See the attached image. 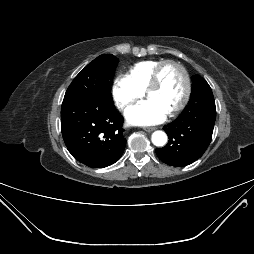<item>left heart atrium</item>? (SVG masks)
<instances>
[{"mask_svg": "<svg viewBox=\"0 0 254 254\" xmlns=\"http://www.w3.org/2000/svg\"><path fill=\"white\" fill-rule=\"evenodd\" d=\"M168 112L155 101L148 99L126 109L125 117L135 125H152L163 121Z\"/></svg>", "mask_w": 254, "mask_h": 254, "instance_id": "obj_1", "label": "left heart atrium"}]
</instances>
